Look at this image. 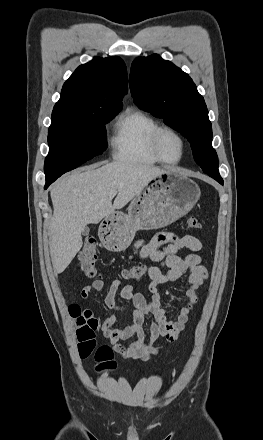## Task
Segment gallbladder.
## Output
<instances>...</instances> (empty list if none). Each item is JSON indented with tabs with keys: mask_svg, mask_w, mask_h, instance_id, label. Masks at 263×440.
<instances>
[{
	"mask_svg": "<svg viewBox=\"0 0 263 440\" xmlns=\"http://www.w3.org/2000/svg\"><path fill=\"white\" fill-rule=\"evenodd\" d=\"M89 228L88 227H85L84 229H83V231H82V235H84V236H86V235H88L89 234Z\"/></svg>",
	"mask_w": 263,
	"mask_h": 440,
	"instance_id": "gallbladder-1",
	"label": "gallbladder"
}]
</instances>
